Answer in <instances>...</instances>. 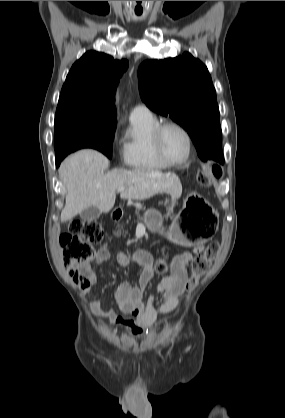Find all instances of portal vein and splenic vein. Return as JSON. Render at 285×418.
<instances>
[{
	"instance_id": "18ae733b",
	"label": "portal vein and splenic vein",
	"mask_w": 285,
	"mask_h": 418,
	"mask_svg": "<svg viewBox=\"0 0 285 418\" xmlns=\"http://www.w3.org/2000/svg\"><path fill=\"white\" fill-rule=\"evenodd\" d=\"M117 191H118V192H122V191H124V187H119V188L117 189Z\"/></svg>"
}]
</instances>
